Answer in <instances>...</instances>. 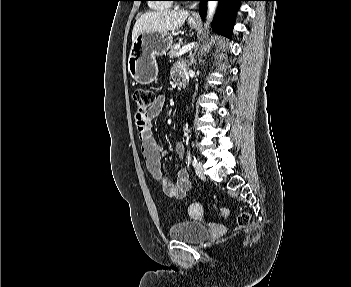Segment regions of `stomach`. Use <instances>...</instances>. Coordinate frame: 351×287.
<instances>
[{
    "instance_id": "obj_1",
    "label": "stomach",
    "mask_w": 351,
    "mask_h": 287,
    "mask_svg": "<svg viewBox=\"0 0 351 287\" xmlns=\"http://www.w3.org/2000/svg\"><path fill=\"white\" fill-rule=\"evenodd\" d=\"M191 28L198 26V21L188 19ZM172 33L168 31L141 32L132 43L128 58V71L139 84L152 83L158 75L156 56H162L172 47Z\"/></svg>"
}]
</instances>
